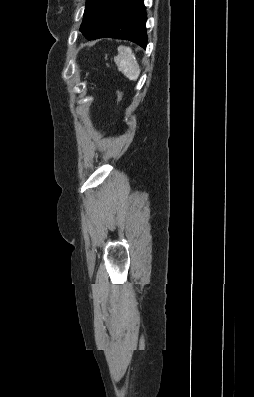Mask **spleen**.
Returning <instances> with one entry per match:
<instances>
[{"label":"spleen","instance_id":"obj_1","mask_svg":"<svg viewBox=\"0 0 254 397\" xmlns=\"http://www.w3.org/2000/svg\"><path fill=\"white\" fill-rule=\"evenodd\" d=\"M118 70L131 81H136L140 75V67L130 47L119 46L118 55L114 57Z\"/></svg>","mask_w":254,"mask_h":397}]
</instances>
